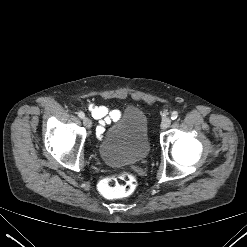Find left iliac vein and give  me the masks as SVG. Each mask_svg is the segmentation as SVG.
<instances>
[{"label":"left iliac vein","mask_w":247,"mask_h":247,"mask_svg":"<svg viewBox=\"0 0 247 247\" xmlns=\"http://www.w3.org/2000/svg\"><path fill=\"white\" fill-rule=\"evenodd\" d=\"M171 124V118L170 117H166L162 120L161 122V129H167Z\"/></svg>","instance_id":"1"}]
</instances>
